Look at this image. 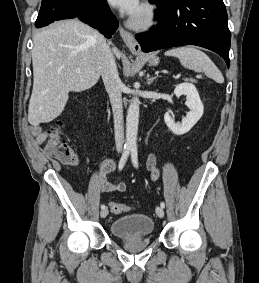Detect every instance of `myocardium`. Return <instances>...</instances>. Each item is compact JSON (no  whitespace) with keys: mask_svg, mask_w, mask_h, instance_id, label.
<instances>
[{"mask_svg":"<svg viewBox=\"0 0 259 283\" xmlns=\"http://www.w3.org/2000/svg\"><path fill=\"white\" fill-rule=\"evenodd\" d=\"M155 20V9L152 5L144 3L139 13L130 19L129 26L134 30H147L154 25Z\"/></svg>","mask_w":259,"mask_h":283,"instance_id":"obj_1","label":"myocardium"}]
</instances>
